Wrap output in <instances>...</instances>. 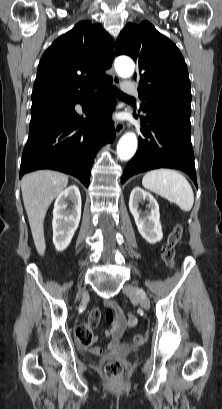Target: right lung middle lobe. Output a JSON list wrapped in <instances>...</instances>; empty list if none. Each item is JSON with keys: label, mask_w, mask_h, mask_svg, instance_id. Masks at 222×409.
<instances>
[{"label": "right lung middle lobe", "mask_w": 222, "mask_h": 409, "mask_svg": "<svg viewBox=\"0 0 222 409\" xmlns=\"http://www.w3.org/2000/svg\"><path fill=\"white\" fill-rule=\"evenodd\" d=\"M46 108H48V107H34V108L32 107L31 108V113L34 114V113L40 112V111H42V110H44Z\"/></svg>", "instance_id": "right-lung-middle-lobe-1"}]
</instances>
